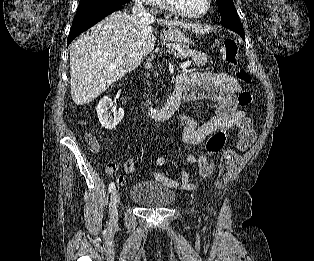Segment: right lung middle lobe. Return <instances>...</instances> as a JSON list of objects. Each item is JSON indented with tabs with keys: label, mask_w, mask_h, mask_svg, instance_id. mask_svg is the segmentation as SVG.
<instances>
[{
	"label": "right lung middle lobe",
	"mask_w": 314,
	"mask_h": 261,
	"mask_svg": "<svg viewBox=\"0 0 314 261\" xmlns=\"http://www.w3.org/2000/svg\"><path fill=\"white\" fill-rule=\"evenodd\" d=\"M130 0H80L76 16L86 14L97 8L111 4H125Z\"/></svg>",
	"instance_id": "dd1d6c3e"
}]
</instances>
